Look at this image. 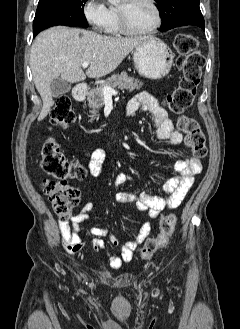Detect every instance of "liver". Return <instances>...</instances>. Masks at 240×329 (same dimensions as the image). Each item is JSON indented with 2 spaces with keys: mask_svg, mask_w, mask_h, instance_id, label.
I'll return each mask as SVG.
<instances>
[{
  "mask_svg": "<svg viewBox=\"0 0 240 329\" xmlns=\"http://www.w3.org/2000/svg\"><path fill=\"white\" fill-rule=\"evenodd\" d=\"M144 38H121L65 26L51 27L40 33L31 47L33 81L42 98L38 120H43L54 105L51 82L59 76L69 83L100 78L112 71ZM90 62L84 71L83 62Z\"/></svg>",
  "mask_w": 240,
  "mask_h": 329,
  "instance_id": "liver-1",
  "label": "liver"
}]
</instances>
